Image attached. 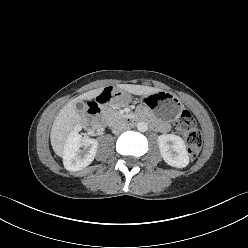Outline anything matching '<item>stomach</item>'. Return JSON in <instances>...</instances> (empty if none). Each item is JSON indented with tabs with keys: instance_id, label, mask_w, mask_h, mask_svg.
I'll list each match as a JSON object with an SVG mask.
<instances>
[{
	"instance_id": "0dacf381",
	"label": "stomach",
	"mask_w": 248,
	"mask_h": 248,
	"mask_svg": "<svg viewBox=\"0 0 248 248\" xmlns=\"http://www.w3.org/2000/svg\"><path fill=\"white\" fill-rule=\"evenodd\" d=\"M117 93V101L120 104H126L129 101V95L126 91L120 89ZM138 103L140 105H145L152 114L165 122L174 120L182 109L180 99L174 94L166 91L140 96L138 98Z\"/></svg>"
}]
</instances>
